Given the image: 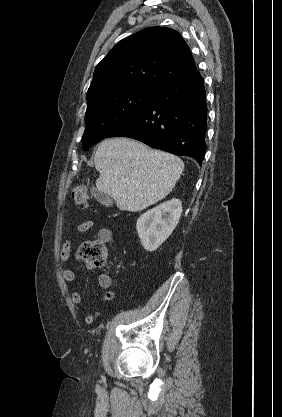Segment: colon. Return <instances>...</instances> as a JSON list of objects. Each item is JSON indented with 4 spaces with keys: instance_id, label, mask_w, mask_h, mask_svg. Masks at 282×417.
<instances>
[{
    "instance_id": "1",
    "label": "colon",
    "mask_w": 282,
    "mask_h": 417,
    "mask_svg": "<svg viewBox=\"0 0 282 417\" xmlns=\"http://www.w3.org/2000/svg\"><path fill=\"white\" fill-rule=\"evenodd\" d=\"M71 195L76 203L86 205L89 203L87 189L82 184H75L71 188ZM108 250L102 240L91 239L82 243L76 251V257L79 261L89 267L102 268L107 264Z\"/></svg>"
}]
</instances>
